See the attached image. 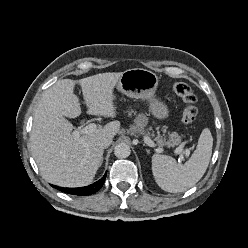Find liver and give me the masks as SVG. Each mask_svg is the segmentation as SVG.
Listing matches in <instances>:
<instances>
[{
	"label": "liver",
	"instance_id": "obj_1",
	"mask_svg": "<svg viewBox=\"0 0 248 248\" xmlns=\"http://www.w3.org/2000/svg\"><path fill=\"white\" fill-rule=\"evenodd\" d=\"M122 73H100L78 81L58 80L43 93L34 112L30 144L45 180L62 187H81L93 181L103 158V149L96 142L101 137L113 138L120 122H109L76 139L72 135L74 127L65 117L81 114L74 94L75 84H79L89 113L114 118L113 90Z\"/></svg>",
	"mask_w": 248,
	"mask_h": 248
}]
</instances>
